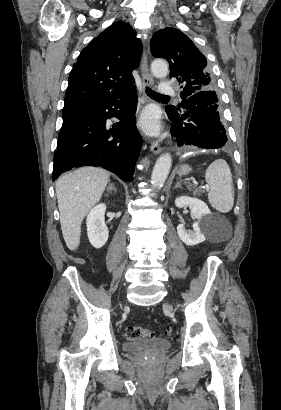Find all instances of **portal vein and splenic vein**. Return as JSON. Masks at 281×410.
Returning <instances> with one entry per match:
<instances>
[{
	"mask_svg": "<svg viewBox=\"0 0 281 410\" xmlns=\"http://www.w3.org/2000/svg\"><path fill=\"white\" fill-rule=\"evenodd\" d=\"M205 188H206V189H208V188H209V186H208V185H206V186H205Z\"/></svg>",
	"mask_w": 281,
	"mask_h": 410,
	"instance_id": "1",
	"label": "portal vein and splenic vein"
}]
</instances>
